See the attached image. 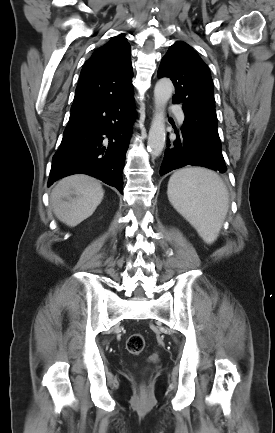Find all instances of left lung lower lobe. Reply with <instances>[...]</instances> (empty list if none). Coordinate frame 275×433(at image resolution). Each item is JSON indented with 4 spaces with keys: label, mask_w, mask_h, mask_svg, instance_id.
<instances>
[{
    "label": "left lung lower lobe",
    "mask_w": 275,
    "mask_h": 433,
    "mask_svg": "<svg viewBox=\"0 0 275 433\" xmlns=\"http://www.w3.org/2000/svg\"><path fill=\"white\" fill-rule=\"evenodd\" d=\"M176 140L165 150L160 175L186 165L201 166L224 173L226 165L220 164L211 148L196 133L192 131H177ZM169 143V140H168Z\"/></svg>",
    "instance_id": "obj_1"
}]
</instances>
